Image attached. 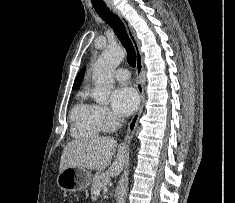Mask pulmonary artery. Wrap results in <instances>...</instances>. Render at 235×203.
<instances>
[{"label": "pulmonary artery", "mask_w": 235, "mask_h": 203, "mask_svg": "<svg viewBox=\"0 0 235 203\" xmlns=\"http://www.w3.org/2000/svg\"><path fill=\"white\" fill-rule=\"evenodd\" d=\"M114 77L120 82H126L130 78V72L126 68H119L114 72Z\"/></svg>", "instance_id": "1"}]
</instances>
